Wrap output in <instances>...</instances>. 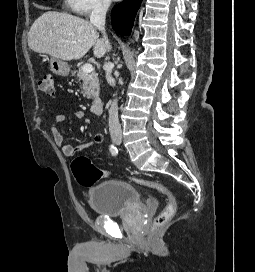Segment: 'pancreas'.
<instances>
[{"mask_svg":"<svg viewBox=\"0 0 255 272\" xmlns=\"http://www.w3.org/2000/svg\"><path fill=\"white\" fill-rule=\"evenodd\" d=\"M79 81H82L81 90L83 96L91 99L99 95L100 83L98 74L95 71L91 73H85L82 67L78 71Z\"/></svg>","mask_w":255,"mask_h":272,"instance_id":"1","label":"pancreas"}]
</instances>
